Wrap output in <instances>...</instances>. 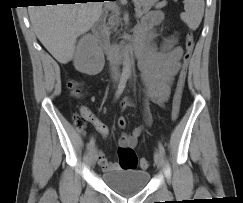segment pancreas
Returning a JSON list of instances; mask_svg holds the SVG:
<instances>
[{
    "label": "pancreas",
    "instance_id": "1",
    "mask_svg": "<svg viewBox=\"0 0 243 203\" xmlns=\"http://www.w3.org/2000/svg\"><path fill=\"white\" fill-rule=\"evenodd\" d=\"M133 2L136 12L141 13L142 15L147 13L153 6H156V8H160L164 7L167 4L166 1L156 4L158 0H133ZM119 23L120 21L118 13L116 12L115 14L110 16L108 20L107 26L105 28L106 34H108L110 30L116 31Z\"/></svg>",
    "mask_w": 243,
    "mask_h": 203
}]
</instances>
